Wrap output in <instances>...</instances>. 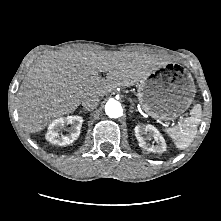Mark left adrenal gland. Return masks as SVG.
<instances>
[{
    "label": "left adrenal gland",
    "instance_id": "obj_1",
    "mask_svg": "<svg viewBox=\"0 0 221 221\" xmlns=\"http://www.w3.org/2000/svg\"><path fill=\"white\" fill-rule=\"evenodd\" d=\"M131 106H130V112L132 113L133 110H136V108L134 107V103L132 100H130Z\"/></svg>",
    "mask_w": 221,
    "mask_h": 221
}]
</instances>
